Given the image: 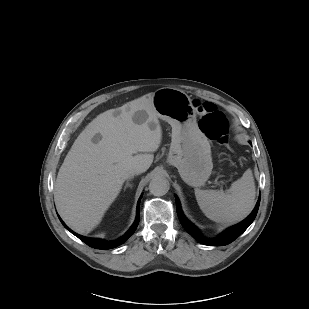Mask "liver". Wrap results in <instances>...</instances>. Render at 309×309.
<instances>
[{"mask_svg": "<svg viewBox=\"0 0 309 309\" xmlns=\"http://www.w3.org/2000/svg\"><path fill=\"white\" fill-rule=\"evenodd\" d=\"M144 111L147 118H133ZM100 135L101 139L94 141ZM162 140L153 93L98 115L80 133L59 169L55 200L64 221L87 234L102 220L120 193L124 174L133 167L145 172Z\"/></svg>", "mask_w": 309, "mask_h": 309, "instance_id": "6515ba94", "label": "liver"}]
</instances>
